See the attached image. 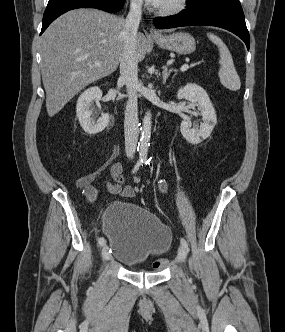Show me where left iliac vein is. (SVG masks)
<instances>
[{
	"label": "left iliac vein",
	"mask_w": 285,
	"mask_h": 332,
	"mask_svg": "<svg viewBox=\"0 0 285 332\" xmlns=\"http://www.w3.org/2000/svg\"><path fill=\"white\" fill-rule=\"evenodd\" d=\"M187 256V250L181 245L178 249V255H177V260L180 263L185 262Z\"/></svg>",
	"instance_id": "left-iliac-vein-1"
}]
</instances>
